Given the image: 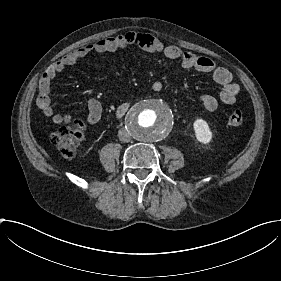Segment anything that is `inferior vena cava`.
<instances>
[{"label": "inferior vena cava", "mask_w": 281, "mask_h": 281, "mask_svg": "<svg viewBox=\"0 0 281 281\" xmlns=\"http://www.w3.org/2000/svg\"><path fill=\"white\" fill-rule=\"evenodd\" d=\"M118 136H119L120 141L125 142V143L130 142L132 139L131 134L125 128H122L119 130Z\"/></svg>", "instance_id": "1"}]
</instances>
